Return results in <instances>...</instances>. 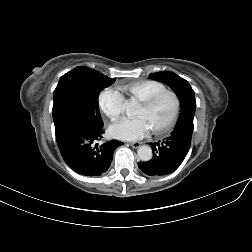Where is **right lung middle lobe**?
I'll return each mask as SVG.
<instances>
[{
  "label": "right lung middle lobe",
  "instance_id": "dd1d6c3e",
  "mask_svg": "<svg viewBox=\"0 0 252 252\" xmlns=\"http://www.w3.org/2000/svg\"><path fill=\"white\" fill-rule=\"evenodd\" d=\"M114 81L115 79H110L91 68L64 74L54 91V124L74 119L90 125H103L98 96L103 88Z\"/></svg>",
  "mask_w": 252,
  "mask_h": 252
}]
</instances>
